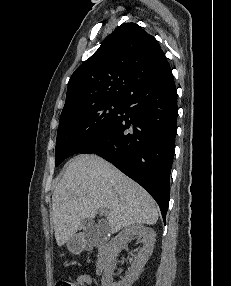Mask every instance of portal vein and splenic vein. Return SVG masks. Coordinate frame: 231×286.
<instances>
[{"label": "portal vein and splenic vein", "mask_w": 231, "mask_h": 286, "mask_svg": "<svg viewBox=\"0 0 231 286\" xmlns=\"http://www.w3.org/2000/svg\"><path fill=\"white\" fill-rule=\"evenodd\" d=\"M100 214H101V215H106V214H107L106 209L101 208V209H100Z\"/></svg>", "instance_id": "1"}]
</instances>
